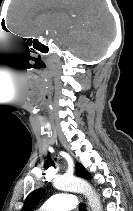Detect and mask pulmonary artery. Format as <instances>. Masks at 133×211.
<instances>
[{"label": "pulmonary artery", "mask_w": 133, "mask_h": 211, "mask_svg": "<svg viewBox=\"0 0 133 211\" xmlns=\"http://www.w3.org/2000/svg\"><path fill=\"white\" fill-rule=\"evenodd\" d=\"M76 207V197L69 193L51 196L37 211H68Z\"/></svg>", "instance_id": "1"}]
</instances>
